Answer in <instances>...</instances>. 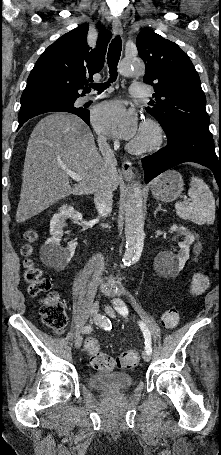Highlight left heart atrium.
<instances>
[{
	"label": "left heart atrium",
	"instance_id": "1",
	"mask_svg": "<svg viewBox=\"0 0 221 455\" xmlns=\"http://www.w3.org/2000/svg\"><path fill=\"white\" fill-rule=\"evenodd\" d=\"M93 124L99 131L116 138L132 139L138 133L136 113L120 101L99 105L93 113Z\"/></svg>",
	"mask_w": 221,
	"mask_h": 455
}]
</instances>
